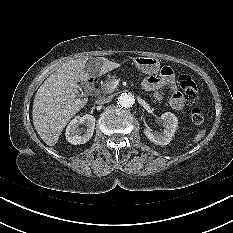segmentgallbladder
Instances as JSON below:
<instances>
[{"mask_svg": "<svg viewBox=\"0 0 233 233\" xmlns=\"http://www.w3.org/2000/svg\"><path fill=\"white\" fill-rule=\"evenodd\" d=\"M97 60H100V57L97 58H91L89 62L87 63L86 67L89 72H92L94 64L96 63Z\"/></svg>", "mask_w": 233, "mask_h": 233, "instance_id": "bac80fb5", "label": "gallbladder"}]
</instances>
